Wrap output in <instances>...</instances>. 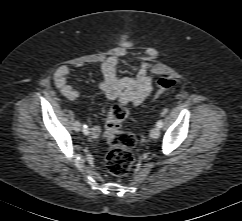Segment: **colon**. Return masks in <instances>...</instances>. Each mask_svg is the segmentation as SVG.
<instances>
[{
    "label": "colon",
    "instance_id": "obj_1",
    "mask_svg": "<svg viewBox=\"0 0 242 221\" xmlns=\"http://www.w3.org/2000/svg\"><path fill=\"white\" fill-rule=\"evenodd\" d=\"M177 81L172 78L161 77L158 80V91L175 87ZM128 108L122 102H116L106 120L105 133L109 145L106 156V166L114 176H125L133 165L132 148L136 144L135 136L123 129V122L128 116Z\"/></svg>",
    "mask_w": 242,
    "mask_h": 221
}]
</instances>
